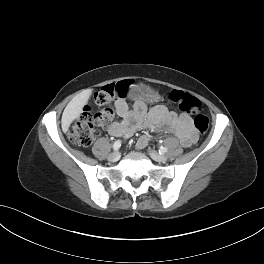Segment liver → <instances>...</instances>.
<instances>
[{
    "label": "liver",
    "instance_id": "obj_1",
    "mask_svg": "<svg viewBox=\"0 0 264 264\" xmlns=\"http://www.w3.org/2000/svg\"><path fill=\"white\" fill-rule=\"evenodd\" d=\"M92 91V89L83 90L67 104L61 120L63 132H67L71 123L81 115L83 107L88 103Z\"/></svg>",
    "mask_w": 264,
    "mask_h": 264
}]
</instances>
